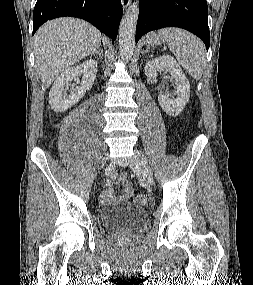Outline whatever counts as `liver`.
<instances>
[{
  "label": "liver",
  "mask_w": 253,
  "mask_h": 285,
  "mask_svg": "<svg viewBox=\"0 0 253 285\" xmlns=\"http://www.w3.org/2000/svg\"><path fill=\"white\" fill-rule=\"evenodd\" d=\"M100 42V31L81 19L58 18L41 26L34 36V53L45 87L65 69L91 54Z\"/></svg>",
  "instance_id": "1"
}]
</instances>
